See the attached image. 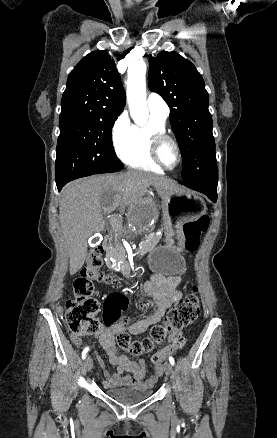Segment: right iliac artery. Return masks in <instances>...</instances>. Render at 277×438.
<instances>
[{
    "label": "right iliac artery",
    "mask_w": 277,
    "mask_h": 438,
    "mask_svg": "<svg viewBox=\"0 0 277 438\" xmlns=\"http://www.w3.org/2000/svg\"><path fill=\"white\" fill-rule=\"evenodd\" d=\"M88 351H89V347H86V348L83 350V352H82V358H83V359H85V357L87 356Z\"/></svg>",
    "instance_id": "1"
}]
</instances>
